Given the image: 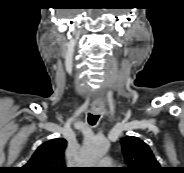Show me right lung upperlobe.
I'll list each match as a JSON object with an SVG mask.
<instances>
[{"instance_id":"obj_1","label":"right lung upper lobe","mask_w":184,"mask_h":173,"mask_svg":"<svg viewBox=\"0 0 184 173\" xmlns=\"http://www.w3.org/2000/svg\"><path fill=\"white\" fill-rule=\"evenodd\" d=\"M65 139H52L40 145L20 170L22 173H67L64 164Z\"/></svg>"}]
</instances>
